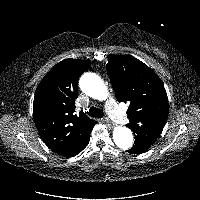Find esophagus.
<instances>
[{
  "label": "esophagus",
  "instance_id": "esophagus-1",
  "mask_svg": "<svg viewBox=\"0 0 200 200\" xmlns=\"http://www.w3.org/2000/svg\"><path fill=\"white\" fill-rule=\"evenodd\" d=\"M105 122H106L108 125L113 126L111 120H110L109 118H107V117L105 118Z\"/></svg>",
  "mask_w": 200,
  "mask_h": 200
}]
</instances>
